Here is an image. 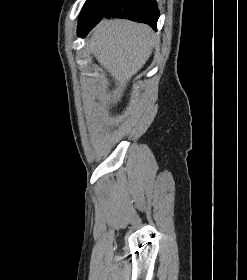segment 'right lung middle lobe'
Returning <instances> with one entry per match:
<instances>
[{
	"instance_id": "right-lung-middle-lobe-1",
	"label": "right lung middle lobe",
	"mask_w": 247,
	"mask_h": 280,
	"mask_svg": "<svg viewBox=\"0 0 247 280\" xmlns=\"http://www.w3.org/2000/svg\"><path fill=\"white\" fill-rule=\"evenodd\" d=\"M111 1L112 0H86L79 17V25L87 24L99 18Z\"/></svg>"
}]
</instances>
